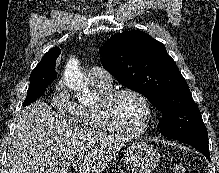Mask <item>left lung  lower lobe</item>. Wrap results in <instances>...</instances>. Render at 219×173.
Segmentation results:
<instances>
[{
    "mask_svg": "<svg viewBox=\"0 0 219 173\" xmlns=\"http://www.w3.org/2000/svg\"><path fill=\"white\" fill-rule=\"evenodd\" d=\"M179 141L187 143L195 147L199 152H201L210 161L208 142H203L199 140H179Z\"/></svg>",
    "mask_w": 219,
    "mask_h": 173,
    "instance_id": "obj_1",
    "label": "left lung lower lobe"
}]
</instances>
